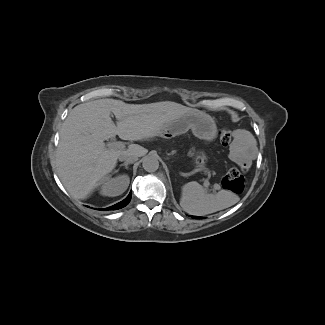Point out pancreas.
<instances>
[{
  "label": "pancreas",
  "instance_id": "cf45deb5",
  "mask_svg": "<svg viewBox=\"0 0 325 325\" xmlns=\"http://www.w3.org/2000/svg\"><path fill=\"white\" fill-rule=\"evenodd\" d=\"M172 144L175 147H179L182 151L186 152L189 157H192L195 154V151L190 148V146L185 141H181L179 138H175L172 141Z\"/></svg>",
  "mask_w": 325,
  "mask_h": 325
}]
</instances>
